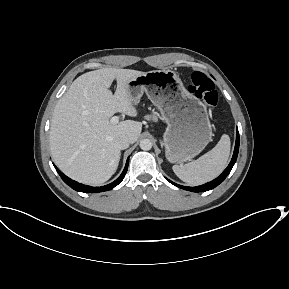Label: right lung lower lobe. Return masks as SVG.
<instances>
[{
	"instance_id": "right-lung-lower-lobe-1",
	"label": "right lung lower lobe",
	"mask_w": 289,
	"mask_h": 289,
	"mask_svg": "<svg viewBox=\"0 0 289 289\" xmlns=\"http://www.w3.org/2000/svg\"><path fill=\"white\" fill-rule=\"evenodd\" d=\"M128 162H129V159H127V162H126V165H125V168H124L122 174L114 182H112L108 185H105V186H101V187H92V186L80 184V183L68 178L66 175H64L60 170H58L56 168L55 165H54V167L56 168L58 174L63 179V181L67 185H69L72 189L79 191V192H84V193H97V192L108 191V190L114 188L115 186H117L125 177V174L128 170Z\"/></svg>"
}]
</instances>
